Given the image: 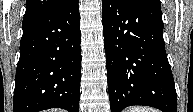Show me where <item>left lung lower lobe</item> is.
Returning <instances> with one entry per match:
<instances>
[{"label": "left lung lower lobe", "mask_w": 193, "mask_h": 112, "mask_svg": "<svg viewBox=\"0 0 193 112\" xmlns=\"http://www.w3.org/2000/svg\"><path fill=\"white\" fill-rule=\"evenodd\" d=\"M111 112L132 105L177 112L159 1L102 0Z\"/></svg>", "instance_id": "0a47b994"}]
</instances>
